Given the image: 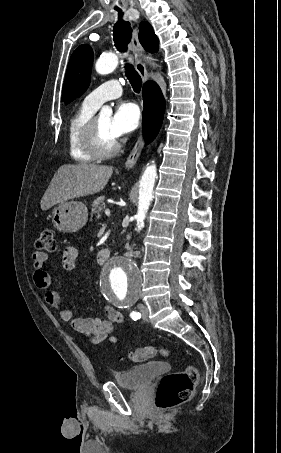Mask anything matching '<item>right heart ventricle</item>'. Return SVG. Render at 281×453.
<instances>
[{"label": "right heart ventricle", "mask_w": 281, "mask_h": 453, "mask_svg": "<svg viewBox=\"0 0 281 453\" xmlns=\"http://www.w3.org/2000/svg\"><path fill=\"white\" fill-rule=\"evenodd\" d=\"M98 107L85 99L84 103L69 118L67 137L72 158L78 162H87L93 159L84 146V133L89 122L92 120Z\"/></svg>", "instance_id": "e07e8e85"}]
</instances>
